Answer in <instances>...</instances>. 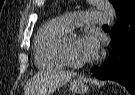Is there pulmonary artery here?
Listing matches in <instances>:
<instances>
[{
	"instance_id": "1",
	"label": "pulmonary artery",
	"mask_w": 135,
	"mask_h": 95,
	"mask_svg": "<svg viewBox=\"0 0 135 95\" xmlns=\"http://www.w3.org/2000/svg\"><path fill=\"white\" fill-rule=\"evenodd\" d=\"M64 24L70 29L85 24V23H109L111 22L109 16L104 11L92 12H71L60 17Z\"/></svg>"
}]
</instances>
